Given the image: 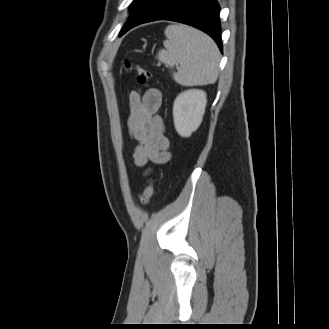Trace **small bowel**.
<instances>
[{
    "label": "small bowel",
    "mask_w": 329,
    "mask_h": 329,
    "mask_svg": "<svg viewBox=\"0 0 329 329\" xmlns=\"http://www.w3.org/2000/svg\"><path fill=\"white\" fill-rule=\"evenodd\" d=\"M162 93L156 88L138 90L129 95L130 114L127 121L130 137L137 143L133 160L136 166H145L149 161L164 164L171 159L169 140L159 115Z\"/></svg>",
    "instance_id": "c3829d8e"
}]
</instances>
